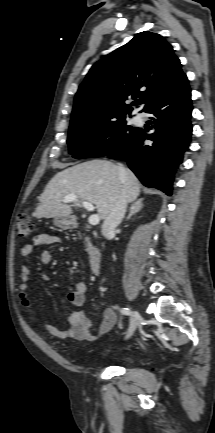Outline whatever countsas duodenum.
<instances>
[{"label": "duodenum", "mask_w": 215, "mask_h": 433, "mask_svg": "<svg viewBox=\"0 0 215 433\" xmlns=\"http://www.w3.org/2000/svg\"><path fill=\"white\" fill-rule=\"evenodd\" d=\"M101 261L102 259L99 253L94 252L91 254L89 266L93 274L99 275L101 269Z\"/></svg>", "instance_id": "duodenum-1"}]
</instances>
